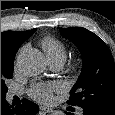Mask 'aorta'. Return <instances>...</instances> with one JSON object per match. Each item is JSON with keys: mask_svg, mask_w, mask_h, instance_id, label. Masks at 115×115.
<instances>
[{"mask_svg": "<svg viewBox=\"0 0 115 115\" xmlns=\"http://www.w3.org/2000/svg\"><path fill=\"white\" fill-rule=\"evenodd\" d=\"M17 65L23 74L36 76L41 74L45 69V56L36 49L23 50L17 56ZM51 115H65V113L55 110Z\"/></svg>", "mask_w": 115, "mask_h": 115, "instance_id": "1", "label": "aorta"}]
</instances>
